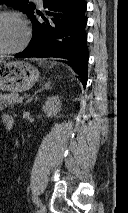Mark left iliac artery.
Listing matches in <instances>:
<instances>
[{"label": "left iliac artery", "instance_id": "left-iliac-artery-1", "mask_svg": "<svg viewBox=\"0 0 128 213\" xmlns=\"http://www.w3.org/2000/svg\"><path fill=\"white\" fill-rule=\"evenodd\" d=\"M32 200H33V202L36 204V205H40V203H41V201L39 200V198L38 197H35V196H33L32 197Z\"/></svg>", "mask_w": 128, "mask_h": 213}]
</instances>
